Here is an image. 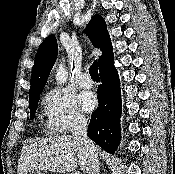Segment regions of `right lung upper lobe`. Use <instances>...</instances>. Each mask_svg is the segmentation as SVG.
<instances>
[{"label":"right lung upper lobe","instance_id":"obj_1","mask_svg":"<svg viewBox=\"0 0 175 174\" xmlns=\"http://www.w3.org/2000/svg\"><path fill=\"white\" fill-rule=\"evenodd\" d=\"M86 33L96 48H100L102 56L99 59V70L113 59L112 44L107 26L100 15H95L87 25ZM57 41L54 36L47 37L40 45L35 56L31 74L29 101L42 92L57 56Z\"/></svg>","mask_w":175,"mask_h":174}]
</instances>
